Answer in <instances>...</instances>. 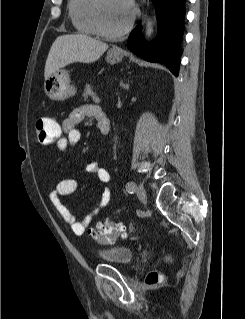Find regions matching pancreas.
I'll return each mask as SVG.
<instances>
[{
    "mask_svg": "<svg viewBox=\"0 0 245 319\" xmlns=\"http://www.w3.org/2000/svg\"><path fill=\"white\" fill-rule=\"evenodd\" d=\"M90 96H94V92H93V86L90 84H87L85 86L84 92L82 94V97L84 98V100H87Z\"/></svg>",
    "mask_w": 245,
    "mask_h": 319,
    "instance_id": "obj_1",
    "label": "pancreas"
}]
</instances>
